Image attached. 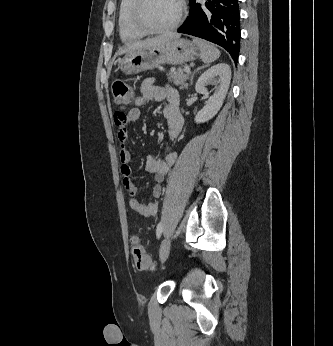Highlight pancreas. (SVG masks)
<instances>
[{
    "mask_svg": "<svg viewBox=\"0 0 333 346\" xmlns=\"http://www.w3.org/2000/svg\"><path fill=\"white\" fill-rule=\"evenodd\" d=\"M184 69L185 68H178L176 71L167 74L168 81L179 86L180 89L187 88L188 86L186 81L189 79L190 73H184Z\"/></svg>",
    "mask_w": 333,
    "mask_h": 346,
    "instance_id": "cf45deb5",
    "label": "pancreas"
}]
</instances>
